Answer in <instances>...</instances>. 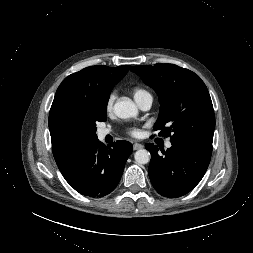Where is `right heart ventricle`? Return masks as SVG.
<instances>
[{
    "mask_svg": "<svg viewBox=\"0 0 253 253\" xmlns=\"http://www.w3.org/2000/svg\"><path fill=\"white\" fill-rule=\"evenodd\" d=\"M132 93H133V96H134V99L135 101L136 100H139L140 98H142L143 96H146V95H150V93L143 89V88H140V87H136L132 90Z\"/></svg>",
    "mask_w": 253,
    "mask_h": 253,
    "instance_id": "obj_1",
    "label": "right heart ventricle"
}]
</instances>
